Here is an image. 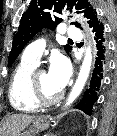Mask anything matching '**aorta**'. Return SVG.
<instances>
[{
    "label": "aorta",
    "mask_w": 117,
    "mask_h": 136,
    "mask_svg": "<svg viewBox=\"0 0 117 136\" xmlns=\"http://www.w3.org/2000/svg\"><path fill=\"white\" fill-rule=\"evenodd\" d=\"M91 64H92V50L91 47L88 46L85 52L84 60L80 68L77 80L67 99L66 106L71 105L82 92L90 73Z\"/></svg>",
    "instance_id": "1"
}]
</instances>
